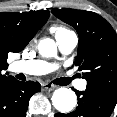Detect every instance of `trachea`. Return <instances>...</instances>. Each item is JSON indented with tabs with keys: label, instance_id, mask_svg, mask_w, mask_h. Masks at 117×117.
Listing matches in <instances>:
<instances>
[{
	"label": "trachea",
	"instance_id": "obj_1",
	"mask_svg": "<svg viewBox=\"0 0 117 117\" xmlns=\"http://www.w3.org/2000/svg\"><path fill=\"white\" fill-rule=\"evenodd\" d=\"M71 79L69 78H61L60 83L61 85H68L70 83Z\"/></svg>",
	"mask_w": 117,
	"mask_h": 117
}]
</instances>
